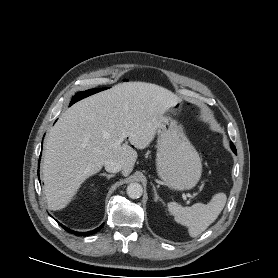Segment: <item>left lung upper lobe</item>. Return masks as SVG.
<instances>
[{"instance_id":"5c2ea615","label":"left lung upper lobe","mask_w":278,"mask_h":278,"mask_svg":"<svg viewBox=\"0 0 278 278\" xmlns=\"http://www.w3.org/2000/svg\"><path fill=\"white\" fill-rule=\"evenodd\" d=\"M230 146H231V149L236 153V148L232 142L230 143Z\"/></svg>"}]
</instances>
